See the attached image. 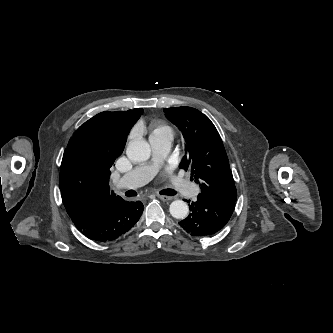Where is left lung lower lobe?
Listing matches in <instances>:
<instances>
[{
  "instance_id": "1",
  "label": "left lung lower lobe",
  "mask_w": 333,
  "mask_h": 333,
  "mask_svg": "<svg viewBox=\"0 0 333 333\" xmlns=\"http://www.w3.org/2000/svg\"><path fill=\"white\" fill-rule=\"evenodd\" d=\"M234 208L235 202L215 201L199 194L189 206L191 213L179 225L192 236L212 235L227 224Z\"/></svg>"
}]
</instances>
